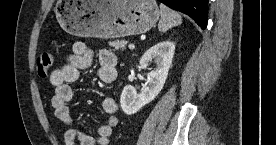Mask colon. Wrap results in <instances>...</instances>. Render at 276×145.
<instances>
[{
    "mask_svg": "<svg viewBox=\"0 0 276 145\" xmlns=\"http://www.w3.org/2000/svg\"><path fill=\"white\" fill-rule=\"evenodd\" d=\"M53 56L49 52H43L37 59V71L41 77H46L52 68Z\"/></svg>",
    "mask_w": 276,
    "mask_h": 145,
    "instance_id": "colon-1",
    "label": "colon"
}]
</instances>
